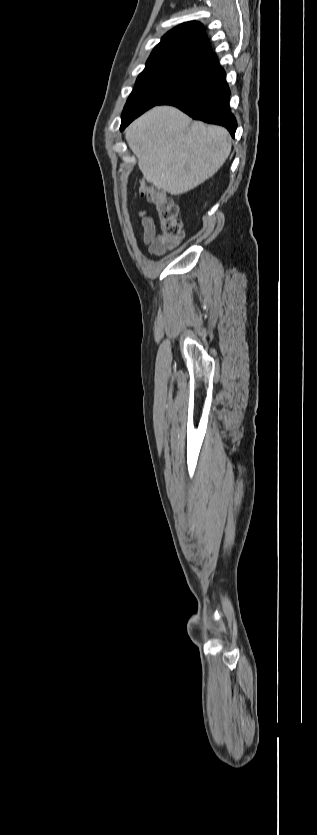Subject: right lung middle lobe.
Listing matches in <instances>:
<instances>
[{
    "mask_svg": "<svg viewBox=\"0 0 317 835\" xmlns=\"http://www.w3.org/2000/svg\"><path fill=\"white\" fill-rule=\"evenodd\" d=\"M206 81L190 59L145 69L137 78L122 114L121 128L168 98Z\"/></svg>",
    "mask_w": 317,
    "mask_h": 835,
    "instance_id": "1",
    "label": "right lung middle lobe"
}]
</instances>
